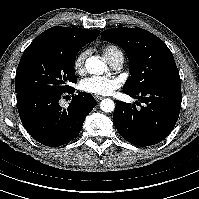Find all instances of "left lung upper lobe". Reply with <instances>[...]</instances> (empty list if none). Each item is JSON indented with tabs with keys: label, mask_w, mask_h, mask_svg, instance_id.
I'll return each mask as SVG.
<instances>
[{
	"label": "left lung upper lobe",
	"mask_w": 199,
	"mask_h": 199,
	"mask_svg": "<svg viewBox=\"0 0 199 199\" xmlns=\"http://www.w3.org/2000/svg\"><path fill=\"white\" fill-rule=\"evenodd\" d=\"M102 39L121 46L129 59L131 76L123 90L139 93L149 87L180 83L174 57L166 44L141 28L105 30Z\"/></svg>",
	"instance_id": "1"
}]
</instances>
